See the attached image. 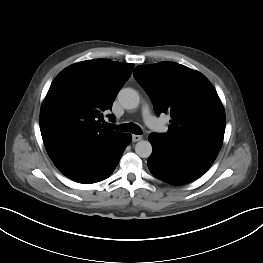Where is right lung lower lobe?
Masks as SVG:
<instances>
[{"label": "right lung lower lobe", "instance_id": "1", "mask_svg": "<svg viewBox=\"0 0 263 263\" xmlns=\"http://www.w3.org/2000/svg\"><path fill=\"white\" fill-rule=\"evenodd\" d=\"M131 141V135L122 133L109 144L70 156L58 163L61 173L73 181L90 184L109 177Z\"/></svg>", "mask_w": 263, "mask_h": 263}]
</instances>
